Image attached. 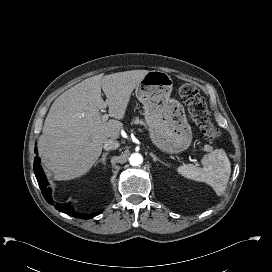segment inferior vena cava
Returning <instances> with one entry per match:
<instances>
[{
	"mask_svg": "<svg viewBox=\"0 0 272 272\" xmlns=\"http://www.w3.org/2000/svg\"><path fill=\"white\" fill-rule=\"evenodd\" d=\"M104 149L105 150H115L119 147V143L117 140H113V139H107L104 142Z\"/></svg>",
	"mask_w": 272,
	"mask_h": 272,
	"instance_id": "602c4592",
	"label": "inferior vena cava"
}]
</instances>
